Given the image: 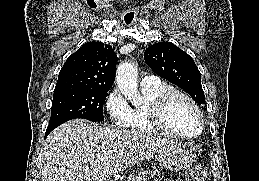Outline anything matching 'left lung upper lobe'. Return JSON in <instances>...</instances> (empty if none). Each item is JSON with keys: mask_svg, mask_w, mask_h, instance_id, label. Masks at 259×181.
<instances>
[{"mask_svg": "<svg viewBox=\"0 0 259 181\" xmlns=\"http://www.w3.org/2000/svg\"><path fill=\"white\" fill-rule=\"evenodd\" d=\"M144 59L157 75L182 88L199 105L205 104L200 71L186 52L170 42H159L146 49Z\"/></svg>", "mask_w": 259, "mask_h": 181, "instance_id": "5c2ea615", "label": "left lung upper lobe"}]
</instances>
